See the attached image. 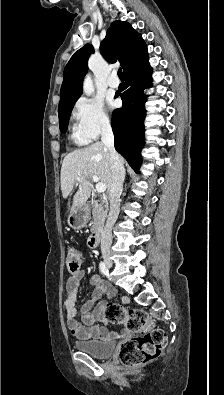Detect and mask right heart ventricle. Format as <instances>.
Segmentation results:
<instances>
[{"label": "right heart ventricle", "instance_id": "e07e8e85", "mask_svg": "<svg viewBox=\"0 0 224 395\" xmlns=\"http://www.w3.org/2000/svg\"><path fill=\"white\" fill-rule=\"evenodd\" d=\"M71 137H72V139H73L75 142H77L78 144H85V143H87V142L90 141V140H88V139H86V138L80 136V135L76 132V130L73 131Z\"/></svg>", "mask_w": 224, "mask_h": 395}]
</instances>
